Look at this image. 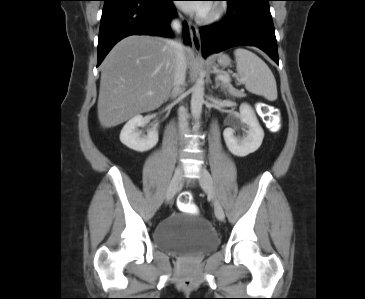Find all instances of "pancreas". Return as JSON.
<instances>
[{
	"mask_svg": "<svg viewBox=\"0 0 365 299\" xmlns=\"http://www.w3.org/2000/svg\"><path fill=\"white\" fill-rule=\"evenodd\" d=\"M222 86L224 87V89H225V88H226V89H228V91H229L231 94H233V95H235V96H237V97H244V96H245V94H244V93L239 92V91H236L235 89H233L229 82H223V83H222Z\"/></svg>",
	"mask_w": 365,
	"mask_h": 299,
	"instance_id": "cf45deb5",
	"label": "pancreas"
}]
</instances>
